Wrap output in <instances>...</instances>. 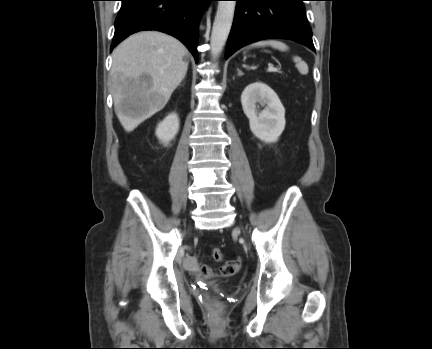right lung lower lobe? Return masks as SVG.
Wrapping results in <instances>:
<instances>
[{"instance_id": "98d812e1", "label": "right lung lower lobe", "mask_w": 432, "mask_h": 349, "mask_svg": "<svg viewBox=\"0 0 432 349\" xmlns=\"http://www.w3.org/2000/svg\"><path fill=\"white\" fill-rule=\"evenodd\" d=\"M111 51L129 35L157 30L184 43L198 61V24L202 9L212 0H121Z\"/></svg>"}]
</instances>
